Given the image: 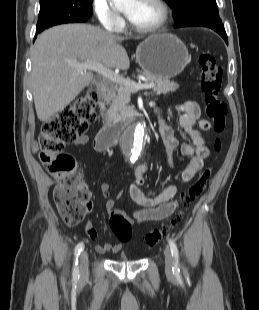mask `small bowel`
I'll return each mask as SVG.
<instances>
[{"instance_id":"c3829d8e","label":"small bowel","mask_w":259,"mask_h":310,"mask_svg":"<svg viewBox=\"0 0 259 310\" xmlns=\"http://www.w3.org/2000/svg\"><path fill=\"white\" fill-rule=\"evenodd\" d=\"M153 112L157 117L159 124V131L162 137L164 146L166 148V163L169 169L174 168L173 156L178 147H180L181 154L189 157V162L181 169L180 179L182 182H190L194 176L202 169L205 158L209 155V150L206 146L205 140L201 131L209 130L210 124L207 120L200 118V106L195 101H185L181 104L169 106L167 112L169 116H173L175 112L181 113L176 119L177 128L186 134L190 141L182 142L181 144L174 135L172 127L167 125L160 114V107L153 106ZM89 138L86 135L79 136L74 140V145H84L88 142ZM147 171L145 164H140L135 168L134 175L135 181L130 184L128 193L131 199L142 208L133 213L132 218L126 214L121 213L115 208V201L108 200L106 204L107 212L110 215L120 213L130 222L138 224L147 223L150 221H160L169 217L178 207V202L174 200L177 194V187L173 183H169L157 195L150 197L146 195L141 186L144 184V175ZM102 195L109 198L111 195V185L104 182L100 185ZM92 210V204L89 212ZM86 234L90 239H96L98 236L97 231L92 228L90 223H87ZM99 254L107 252L119 253L122 249V243L112 244H97L95 246Z\"/></svg>"}]
</instances>
